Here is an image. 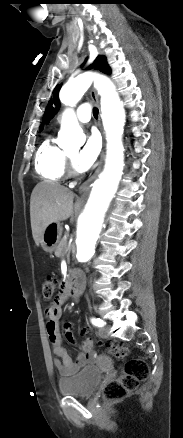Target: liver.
Here are the masks:
<instances>
[{
    "label": "liver",
    "instance_id": "6515ba94",
    "mask_svg": "<svg viewBox=\"0 0 183 438\" xmlns=\"http://www.w3.org/2000/svg\"><path fill=\"white\" fill-rule=\"evenodd\" d=\"M73 199L74 193L58 184L41 182L35 186L30 199V218L37 246L50 224L73 218Z\"/></svg>",
    "mask_w": 183,
    "mask_h": 438
}]
</instances>
